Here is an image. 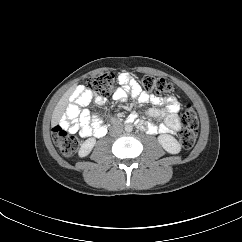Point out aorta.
Instances as JSON below:
<instances>
[{
  "label": "aorta",
  "mask_w": 242,
  "mask_h": 242,
  "mask_svg": "<svg viewBox=\"0 0 242 242\" xmlns=\"http://www.w3.org/2000/svg\"><path fill=\"white\" fill-rule=\"evenodd\" d=\"M133 130V126L130 124L125 125V131L126 132H131Z\"/></svg>",
  "instance_id": "aorta-1"
}]
</instances>
